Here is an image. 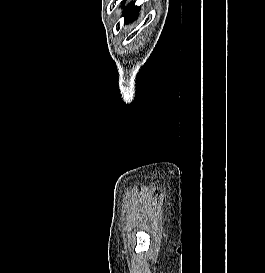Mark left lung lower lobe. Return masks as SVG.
<instances>
[{"instance_id": "obj_1", "label": "left lung lower lobe", "mask_w": 265, "mask_h": 273, "mask_svg": "<svg viewBox=\"0 0 265 273\" xmlns=\"http://www.w3.org/2000/svg\"><path fill=\"white\" fill-rule=\"evenodd\" d=\"M139 11V8L134 5H129L125 9L124 17H125V23L127 24L130 22L132 19H135L137 17V13Z\"/></svg>"}]
</instances>
